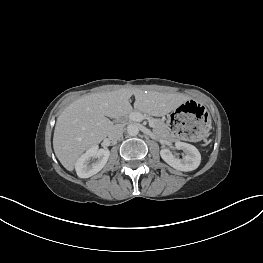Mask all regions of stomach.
Returning a JSON list of instances; mask_svg holds the SVG:
<instances>
[{
    "label": "stomach",
    "mask_w": 263,
    "mask_h": 263,
    "mask_svg": "<svg viewBox=\"0 0 263 263\" xmlns=\"http://www.w3.org/2000/svg\"><path fill=\"white\" fill-rule=\"evenodd\" d=\"M167 127L174 138L185 142H196L210 134L213 118L201 101L185 98L178 101L170 111Z\"/></svg>",
    "instance_id": "stomach-1"
}]
</instances>
